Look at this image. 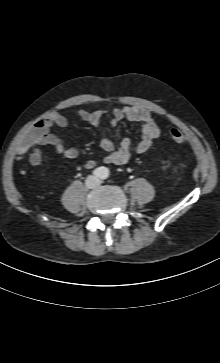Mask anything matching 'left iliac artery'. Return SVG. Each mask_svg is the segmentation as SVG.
Returning <instances> with one entry per match:
<instances>
[{"label":"left iliac artery","instance_id":"obj_1","mask_svg":"<svg viewBox=\"0 0 220 363\" xmlns=\"http://www.w3.org/2000/svg\"><path fill=\"white\" fill-rule=\"evenodd\" d=\"M109 176V171L108 170H104L102 173V179H106Z\"/></svg>","mask_w":220,"mask_h":363}]
</instances>
